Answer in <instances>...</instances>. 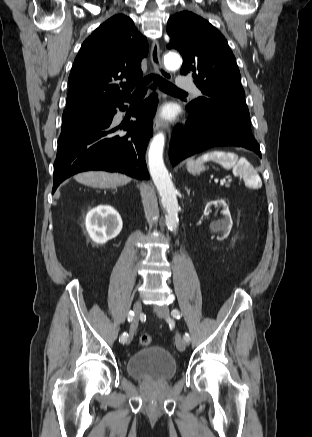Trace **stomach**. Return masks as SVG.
<instances>
[{
  "instance_id": "0dacf381",
  "label": "stomach",
  "mask_w": 312,
  "mask_h": 437,
  "mask_svg": "<svg viewBox=\"0 0 312 437\" xmlns=\"http://www.w3.org/2000/svg\"><path fill=\"white\" fill-rule=\"evenodd\" d=\"M187 170L192 174H199L205 170V166L202 161L191 159L187 162Z\"/></svg>"
}]
</instances>
